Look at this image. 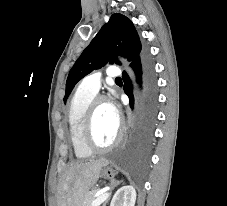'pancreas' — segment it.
<instances>
[{
  "label": "pancreas",
  "instance_id": "pancreas-1",
  "mask_svg": "<svg viewBox=\"0 0 227 206\" xmlns=\"http://www.w3.org/2000/svg\"><path fill=\"white\" fill-rule=\"evenodd\" d=\"M100 189H93L92 191L86 193L83 198L81 206H91L92 202L96 199L95 195Z\"/></svg>",
  "mask_w": 227,
  "mask_h": 206
}]
</instances>
